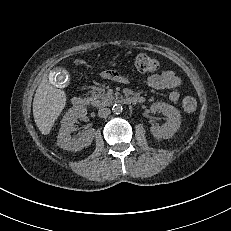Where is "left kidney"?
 Segmentation results:
<instances>
[{"label":"left kidney","instance_id":"obj_1","mask_svg":"<svg viewBox=\"0 0 231 231\" xmlns=\"http://www.w3.org/2000/svg\"><path fill=\"white\" fill-rule=\"evenodd\" d=\"M151 112H161L166 116V122L162 126H151L150 131L157 139H167L172 137L180 127L181 115L172 105L165 102L153 103L150 107Z\"/></svg>","mask_w":231,"mask_h":231}]
</instances>
